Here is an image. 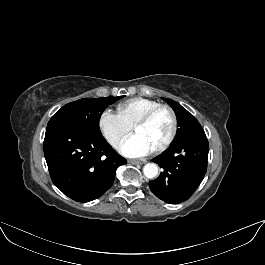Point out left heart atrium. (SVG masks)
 Here are the masks:
<instances>
[{"mask_svg":"<svg viewBox=\"0 0 265 265\" xmlns=\"http://www.w3.org/2000/svg\"><path fill=\"white\" fill-rule=\"evenodd\" d=\"M151 151L149 144L138 134L127 138L121 146V153L128 157H141Z\"/></svg>","mask_w":265,"mask_h":265,"instance_id":"39dd6f15","label":"left heart atrium"}]
</instances>
